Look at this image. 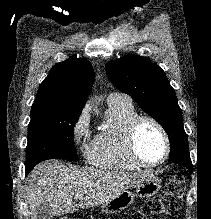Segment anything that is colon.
Here are the masks:
<instances>
[{
    "label": "colon",
    "mask_w": 211,
    "mask_h": 219,
    "mask_svg": "<svg viewBox=\"0 0 211 219\" xmlns=\"http://www.w3.org/2000/svg\"><path fill=\"white\" fill-rule=\"evenodd\" d=\"M185 187L181 175H175L166 184L162 195L146 204L132 219H146L151 216H176L181 205ZM60 219H69L62 217Z\"/></svg>",
    "instance_id": "1"
}]
</instances>
